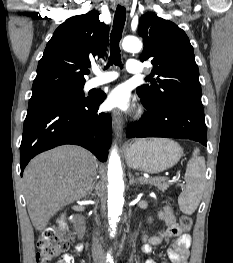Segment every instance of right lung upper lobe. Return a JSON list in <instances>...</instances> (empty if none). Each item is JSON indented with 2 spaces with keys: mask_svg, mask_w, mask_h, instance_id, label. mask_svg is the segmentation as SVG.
<instances>
[{
  "mask_svg": "<svg viewBox=\"0 0 233 263\" xmlns=\"http://www.w3.org/2000/svg\"><path fill=\"white\" fill-rule=\"evenodd\" d=\"M108 34L95 10L62 23L38 63L32 96L84 86L85 70L106 53Z\"/></svg>",
  "mask_w": 233,
  "mask_h": 263,
  "instance_id": "1",
  "label": "right lung upper lobe"
}]
</instances>
